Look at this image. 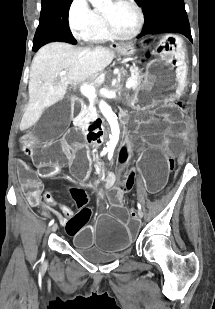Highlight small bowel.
Listing matches in <instances>:
<instances>
[{"label":"small bowel","instance_id":"1","mask_svg":"<svg viewBox=\"0 0 215 309\" xmlns=\"http://www.w3.org/2000/svg\"><path fill=\"white\" fill-rule=\"evenodd\" d=\"M124 149H127V146H124ZM126 183H124L123 186H114L112 188V193L116 199V201L120 202L121 199H122V196L124 194V192L126 191V189H128L130 187V183L127 182V184L125 185ZM32 190L28 193V197H29V200L30 202L33 204V205H37L38 204V196H39V189H40V186H41V183L38 182V181H34L30 184ZM79 191V190H78ZM77 191V192H78ZM76 192V193H77ZM76 200H77V197H76ZM68 207H61V211L62 213L68 218V216L66 215L67 211H68ZM135 217V216H134Z\"/></svg>","mask_w":215,"mask_h":309}]
</instances>
